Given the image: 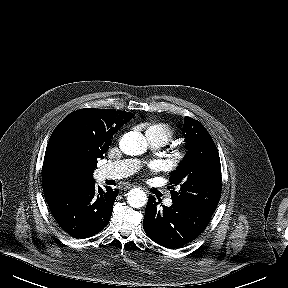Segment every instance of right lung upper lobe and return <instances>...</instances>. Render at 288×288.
<instances>
[{"mask_svg":"<svg viewBox=\"0 0 288 288\" xmlns=\"http://www.w3.org/2000/svg\"><path fill=\"white\" fill-rule=\"evenodd\" d=\"M133 113L85 108L67 115L53 131L44 156V195L94 181L93 170L109 149L113 135Z\"/></svg>","mask_w":288,"mask_h":288,"instance_id":"obj_1","label":"right lung upper lobe"}]
</instances>
